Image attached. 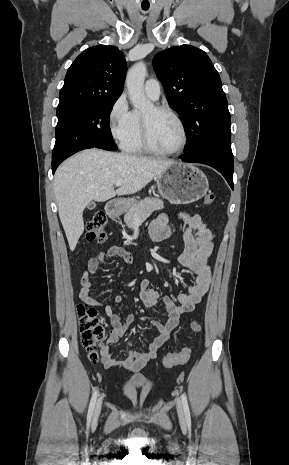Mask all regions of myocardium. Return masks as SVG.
<instances>
[{"instance_id":"f54148a6","label":"myocardium","mask_w":289,"mask_h":465,"mask_svg":"<svg viewBox=\"0 0 289 465\" xmlns=\"http://www.w3.org/2000/svg\"><path fill=\"white\" fill-rule=\"evenodd\" d=\"M152 107L154 110L158 112H164V113L169 114L176 120L182 132V142H181V145L177 149L172 150V151H163V150L157 149L151 142L147 121L144 118V116L141 115V137H142V143H143L145 150L153 155L162 156V157H170V156H175V155L182 153L187 147V144L189 141L188 131H187V128H186V125L183 119L174 109H172L169 106L153 105Z\"/></svg>"}]
</instances>
